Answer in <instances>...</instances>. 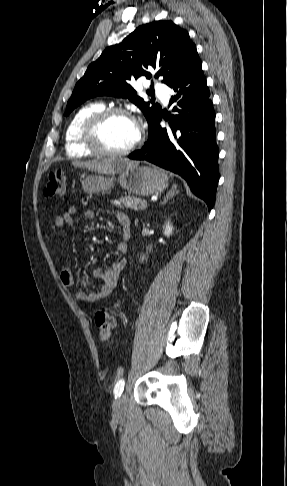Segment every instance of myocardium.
I'll return each instance as SVG.
<instances>
[{
    "mask_svg": "<svg viewBox=\"0 0 287 486\" xmlns=\"http://www.w3.org/2000/svg\"><path fill=\"white\" fill-rule=\"evenodd\" d=\"M122 116L130 121L136 127V137L132 143L121 150H108L98 141V131L100 127L111 117ZM142 140V129L136 118L126 109L121 107L104 108L86 119L81 129L82 144L94 155L102 157H121L128 155L135 150Z\"/></svg>",
    "mask_w": 287,
    "mask_h": 486,
    "instance_id": "f54148a6",
    "label": "myocardium"
}]
</instances>
